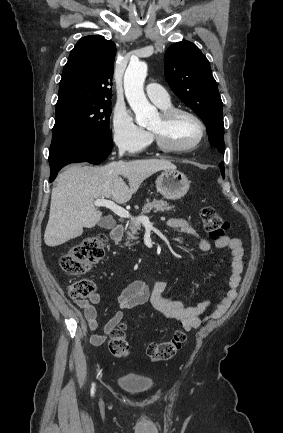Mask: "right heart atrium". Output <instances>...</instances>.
<instances>
[{
  "mask_svg": "<svg viewBox=\"0 0 283 433\" xmlns=\"http://www.w3.org/2000/svg\"><path fill=\"white\" fill-rule=\"evenodd\" d=\"M111 138L114 146L123 153L136 155L142 146L151 141L150 134L136 125L132 113L124 108L115 107L110 117Z\"/></svg>",
  "mask_w": 283,
  "mask_h": 433,
  "instance_id": "obj_1",
  "label": "right heart atrium"
}]
</instances>
